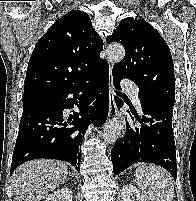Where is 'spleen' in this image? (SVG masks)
<instances>
[{
  "label": "spleen",
  "mask_w": 196,
  "mask_h": 201,
  "mask_svg": "<svg viewBox=\"0 0 196 201\" xmlns=\"http://www.w3.org/2000/svg\"><path fill=\"white\" fill-rule=\"evenodd\" d=\"M135 183L148 201H172L174 186L172 177L162 168L142 166L135 171Z\"/></svg>",
  "instance_id": "obj_1"
}]
</instances>
